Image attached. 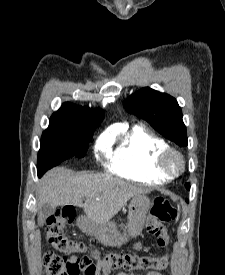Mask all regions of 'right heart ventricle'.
Here are the masks:
<instances>
[{"mask_svg": "<svg viewBox=\"0 0 225 275\" xmlns=\"http://www.w3.org/2000/svg\"><path fill=\"white\" fill-rule=\"evenodd\" d=\"M111 139L113 141L114 137ZM167 147V142L160 136L143 126H134L121 135L109 156L107 168L123 179L143 185L168 182L172 177L158 168V156Z\"/></svg>", "mask_w": 225, "mask_h": 275, "instance_id": "1", "label": "right heart ventricle"}]
</instances>
